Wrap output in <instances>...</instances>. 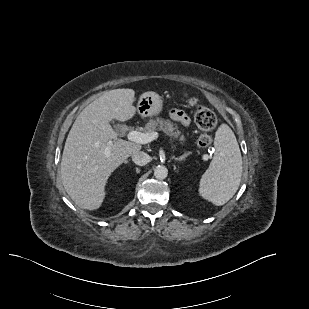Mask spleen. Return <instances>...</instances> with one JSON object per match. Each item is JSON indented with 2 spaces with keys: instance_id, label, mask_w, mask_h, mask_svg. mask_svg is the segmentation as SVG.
I'll list each match as a JSON object with an SVG mask.
<instances>
[{
  "instance_id": "3e777b00",
  "label": "spleen",
  "mask_w": 309,
  "mask_h": 309,
  "mask_svg": "<svg viewBox=\"0 0 309 309\" xmlns=\"http://www.w3.org/2000/svg\"><path fill=\"white\" fill-rule=\"evenodd\" d=\"M215 154L202 175L199 194L216 206L226 204L237 192L242 177V157L235 134L227 124L216 131Z\"/></svg>"
}]
</instances>
